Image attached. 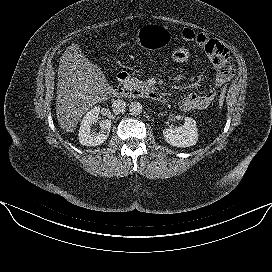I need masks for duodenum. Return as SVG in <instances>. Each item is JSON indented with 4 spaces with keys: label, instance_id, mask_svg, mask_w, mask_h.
Masks as SVG:
<instances>
[{
    "label": "duodenum",
    "instance_id": "obj_1",
    "mask_svg": "<svg viewBox=\"0 0 272 272\" xmlns=\"http://www.w3.org/2000/svg\"><path fill=\"white\" fill-rule=\"evenodd\" d=\"M129 79V74L126 72H119L117 74V84L112 88V93L115 96L123 97V96H130V95H138L143 98L150 99L152 101H156L159 103H165L166 97L153 89L151 86H147L139 90L138 92H131L126 90L123 87V83Z\"/></svg>",
    "mask_w": 272,
    "mask_h": 272
}]
</instances>
